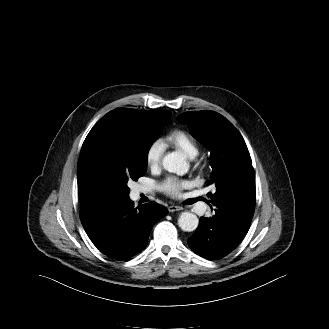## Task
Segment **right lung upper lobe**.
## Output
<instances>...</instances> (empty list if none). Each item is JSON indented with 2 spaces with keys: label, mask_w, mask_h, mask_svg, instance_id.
<instances>
[{
  "label": "right lung upper lobe",
  "mask_w": 329,
  "mask_h": 329,
  "mask_svg": "<svg viewBox=\"0 0 329 329\" xmlns=\"http://www.w3.org/2000/svg\"><path fill=\"white\" fill-rule=\"evenodd\" d=\"M108 114L109 115L120 114L123 117H125L127 120H129L133 125L139 128H143L147 126L157 117L168 116V115L171 116V113L169 111H139V110L125 109V108L112 110ZM98 124L99 123L97 122L96 125L91 129V131L87 135L80 153H82L88 146L94 144L101 138V134L96 129Z\"/></svg>",
  "instance_id": "right-lung-upper-lobe-1"
}]
</instances>
